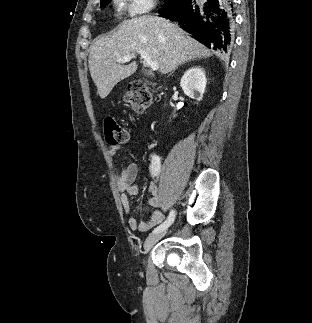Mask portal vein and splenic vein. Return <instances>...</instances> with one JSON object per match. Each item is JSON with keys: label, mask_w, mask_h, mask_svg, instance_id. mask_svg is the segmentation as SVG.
<instances>
[{"label": "portal vein and splenic vein", "mask_w": 312, "mask_h": 323, "mask_svg": "<svg viewBox=\"0 0 312 323\" xmlns=\"http://www.w3.org/2000/svg\"><path fill=\"white\" fill-rule=\"evenodd\" d=\"M136 54H139V56L143 58L144 62H146L147 66H150L153 72H155V70H159L158 64H156V62H153V60H151L147 52H136ZM134 56L135 54H127V56H120V58H117V62H119V64H126V62H130L131 58H134Z\"/></svg>", "instance_id": "1"}]
</instances>
